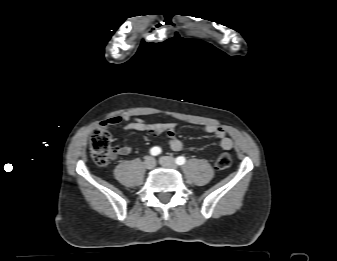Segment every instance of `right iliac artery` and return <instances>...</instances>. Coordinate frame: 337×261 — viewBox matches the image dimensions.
Instances as JSON below:
<instances>
[{
	"instance_id": "obj_1",
	"label": "right iliac artery",
	"mask_w": 337,
	"mask_h": 261,
	"mask_svg": "<svg viewBox=\"0 0 337 261\" xmlns=\"http://www.w3.org/2000/svg\"><path fill=\"white\" fill-rule=\"evenodd\" d=\"M161 153V148L158 147V146H155L153 148H151L150 150V154L153 155V156H157Z\"/></svg>"
}]
</instances>
